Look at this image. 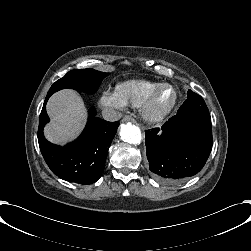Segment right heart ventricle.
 <instances>
[{
    "instance_id": "e07e8e85",
    "label": "right heart ventricle",
    "mask_w": 251,
    "mask_h": 251,
    "mask_svg": "<svg viewBox=\"0 0 251 251\" xmlns=\"http://www.w3.org/2000/svg\"><path fill=\"white\" fill-rule=\"evenodd\" d=\"M158 81L153 78L124 80L116 84L114 93L125 105L139 108Z\"/></svg>"
}]
</instances>
